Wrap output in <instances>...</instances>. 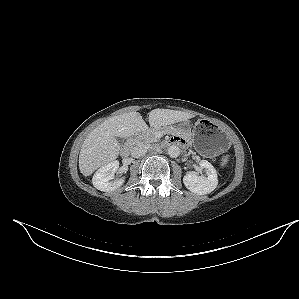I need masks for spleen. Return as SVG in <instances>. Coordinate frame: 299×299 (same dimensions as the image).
Listing matches in <instances>:
<instances>
[{"label": "spleen", "mask_w": 299, "mask_h": 299, "mask_svg": "<svg viewBox=\"0 0 299 299\" xmlns=\"http://www.w3.org/2000/svg\"><path fill=\"white\" fill-rule=\"evenodd\" d=\"M227 161H228V156H224L222 158L221 166H224L227 163Z\"/></svg>", "instance_id": "3e777b00"}]
</instances>
